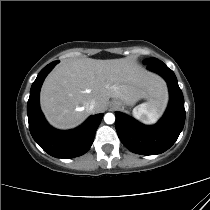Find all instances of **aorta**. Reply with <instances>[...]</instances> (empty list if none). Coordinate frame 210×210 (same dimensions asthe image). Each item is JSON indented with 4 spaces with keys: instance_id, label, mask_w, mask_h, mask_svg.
Returning a JSON list of instances; mask_svg holds the SVG:
<instances>
[{
    "instance_id": "762f6f07",
    "label": "aorta",
    "mask_w": 210,
    "mask_h": 210,
    "mask_svg": "<svg viewBox=\"0 0 210 210\" xmlns=\"http://www.w3.org/2000/svg\"><path fill=\"white\" fill-rule=\"evenodd\" d=\"M104 121L107 124H113L115 122V116L112 113H107L104 116Z\"/></svg>"
}]
</instances>
